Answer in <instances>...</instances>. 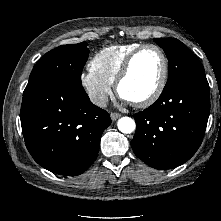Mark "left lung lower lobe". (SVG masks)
Returning <instances> with one entry per match:
<instances>
[{"mask_svg": "<svg viewBox=\"0 0 221 221\" xmlns=\"http://www.w3.org/2000/svg\"><path fill=\"white\" fill-rule=\"evenodd\" d=\"M209 113L210 89L205 73L188 75L134 115L137 127L132 149L153 168L180 166L201 145Z\"/></svg>", "mask_w": 221, "mask_h": 221, "instance_id": "left-lung-lower-lobe-1", "label": "left lung lower lobe"}]
</instances>
